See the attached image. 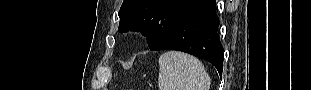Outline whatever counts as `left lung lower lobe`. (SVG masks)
<instances>
[{
  "label": "left lung lower lobe",
  "instance_id": "obj_1",
  "mask_svg": "<svg viewBox=\"0 0 311 90\" xmlns=\"http://www.w3.org/2000/svg\"><path fill=\"white\" fill-rule=\"evenodd\" d=\"M218 26L215 0H202L181 15L151 50L169 49L192 54L212 63L221 76L224 54Z\"/></svg>",
  "mask_w": 311,
  "mask_h": 90
}]
</instances>
